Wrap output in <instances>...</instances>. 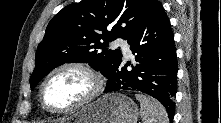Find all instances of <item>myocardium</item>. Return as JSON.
<instances>
[{"mask_svg": "<svg viewBox=\"0 0 221 123\" xmlns=\"http://www.w3.org/2000/svg\"><path fill=\"white\" fill-rule=\"evenodd\" d=\"M63 70H78L86 74L93 82L92 90L89 94L79 101L78 103L65 107V108H56L49 105L45 99V88L49 80L58 72ZM104 90V80L103 77L95 71L90 66L80 63V62H68L58 65L57 67L53 68L44 78L43 82L41 83L40 90H39V98L43 108L50 112V113H68L78 109H81L93 101H95L103 92Z\"/></svg>", "mask_w": 221, "mask_h": 123, "instance_id": "myocardium-1", "label": "myocardium"}]
</instances>
